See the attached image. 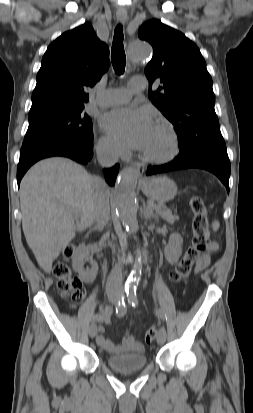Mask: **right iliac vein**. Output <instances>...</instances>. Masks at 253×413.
Listing matches in <instances>:
<instances>
[{"label":"right iliac vein","mask_w":253,"mask_h":413,"mask_svg":"<svg viewBox=\"0 0 253 413\" xmlns=\"http://www.w3.org/2000/svg\"><path fill=\"white\" fill-rule=\"evenodd\" d=\"M108 299L111 303H116L117 302V295L116 294H109L108 295ZM97 334V326L96 324H91V326L89 327V335L91 338H94Z\"/></svg>","instance_id":"right-iliac-vein-1"}]
</instances>
